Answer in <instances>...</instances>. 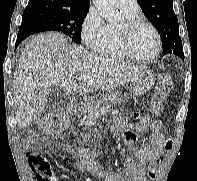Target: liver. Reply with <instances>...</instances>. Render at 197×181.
<instances>
[{"mask_svg":"<svg viewBox=\"0 0 197 181\" xmlns=\"http://www.w3.org/2000/svg\"><path fill=\"white\" fill-rule=\"evenodd\" d=\"M145 66L69 45L65 35L42 33L26 45L15 71L13 100L20 128L28 126L45 108L48 88L57 85L66 94L113 90L134 82ZM75 75L90 79L76 83Z\"/></svg>","mask_w":197,"mask_h":181,"instance_id":"obj_1","label":"liver"}]
</instances>
